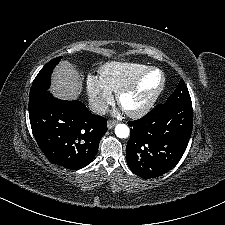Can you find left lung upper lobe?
<instances>
[{
    "instance_id": "left-lung-upper-lobe-1",
    "label": "left lung upper lobe",
    "mask_w": 225,
    "mask_h": 225,
    "mask_svg": "<svg viewBox=\"0 0 225 225\" xmlns=\"http://www.w3.org/2000/svg\"><path fill=\"white\" fill-rule=\"evenodd\" d=\"M187 104L191 105V98L186 84L181 79L175 91L169 96L163 105H178Z\"/></svg>"
}]
</instances>
